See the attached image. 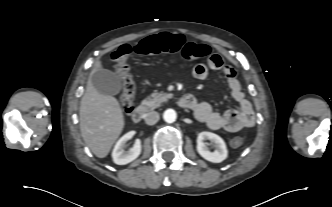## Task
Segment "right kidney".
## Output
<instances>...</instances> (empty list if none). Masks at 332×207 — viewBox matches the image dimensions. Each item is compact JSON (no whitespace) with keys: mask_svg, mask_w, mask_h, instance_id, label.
<instances>
[{"mask_svg":"<svg viewBox=\"0 0 332 207\" xmlns=\"http://www.w3.org/2000/svg\"><path fill=\"white\" fill-rule=\"evenodd\" d=\"M135 135L134 131H130L122 136L114 146L112 158L115 164L125 165L135 160L141 153L140 140H136L132 148L125 150V143Z\"/></svg>","mask_w":332,"mask_h":207,"instance_id":"ca27d5eb","label":"right kidney"}]
</instances>
